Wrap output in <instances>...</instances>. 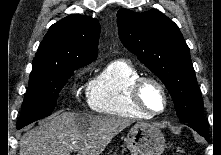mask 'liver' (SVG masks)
I'll return each mask as SVG.
<instances>
[{
  "mask_svg": "<svg viewBox=\"0 0 221 155\" xmlns=\"http://www.w3.org/2000/svg\"><path fill=\"white\" fill-rule=\"evenodd\" d=\"M132 120L62 112L27 131L20 140L19 155H101L110 141Z\"/></svg>",
  "mask_w": 221,
  "mask_h": 155,
  "instance_id": "liver-1",
  "label": "liver"
}]
</instances>
